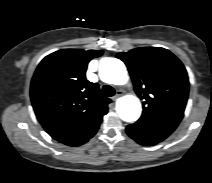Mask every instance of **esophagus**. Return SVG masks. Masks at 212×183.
<instances>
[{
    "mask_svg": "<svg viewBox=\"0 0 212 183\" xmlns=\"http://www.w3.org/2000/svg\"><path fill=\"white\" fill-rule=\"evenodd\" d=\"M122 95V91L118 90L116 94L112 97V100L115 101L118 97Z\"/></svg>",
    "mask_w": 212,
    "mask_h": 183,
    "instance_id": "34e87169",
    "label": "esophagus"
}]
</instances>
